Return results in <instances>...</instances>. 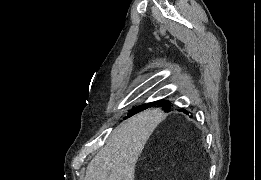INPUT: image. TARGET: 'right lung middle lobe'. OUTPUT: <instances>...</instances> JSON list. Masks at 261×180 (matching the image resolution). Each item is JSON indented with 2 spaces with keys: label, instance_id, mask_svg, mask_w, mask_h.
<instances>
[{
  "label": "right lung middle lobe",
  "instance_id": "right-lung-middle-lobe-1",
  "mask_svg": "<svg viewBox=\"0 0 261 180\" xmlns=\"http://www.w3.org/2000/svg\"><path fill=\"white\" fill-rule=\"evenodd\" d=\"M151 106L153 105H157V106H160L164 109V111H167L170 109V103L169 101H166V100H159V101H156V102H152V103H149ZM146 108V105H141L135 109H132L131 112L128 114V116H131L133 113H136V112H139L141 111L142 109H145Z\"/></svg>",
  "mask_w": 261,
  "mask_h": 180
}]
</instances>
